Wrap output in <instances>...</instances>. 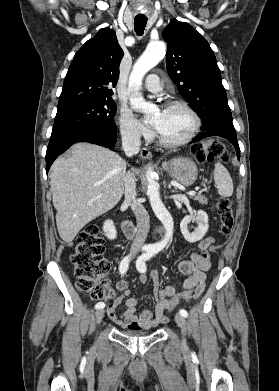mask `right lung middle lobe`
Listing matches in <instances>:
<instances>
[{"label": "right lung middle lobe", "mask_w": 279, "mask_h": 391, "mask_svg": "<svg viewBox=\"0 0 279 391\" xmlns=\"http://www.w3.org/2000/svg\"><path fill=\"white\" fill-rule=\"evenodd\" d=\"M116 105L112 100L82 102L57 110L52 134L114 122Z\"/></svg>", "instance_id": "1"}]
</instances>
